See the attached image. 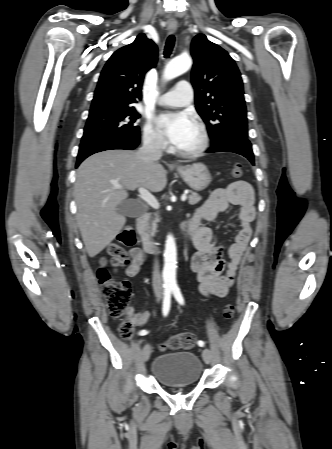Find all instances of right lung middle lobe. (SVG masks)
Listing matches in <instances>:
<instances>
[{
    "label": "right lung middle lobe",
    "instance_id": "obj_1",
    "mask_svg": "<svg viewBox=\"0 0 332 449\" xmlns=\"http://www.w3.org/2000/svg\"><path fill=\"white\" fill-rule=\"evenodd\" d=\"M139 117L140 114L134 108L90 113L81 142L102 137H139L140 128L134 124Z\"/></svg>",
    "mask_w": 332,
    "mask_h": 449
}]
</instances>
